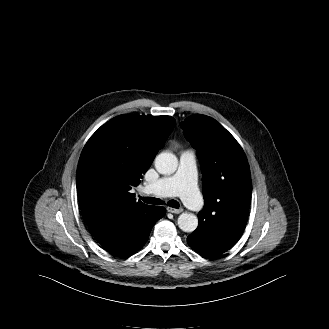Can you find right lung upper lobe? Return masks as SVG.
Segmentation results:
<instances>
[{
  "label": "right lung upper lobe",
  "mask_w": 329,
  "mask_h": 329,
  "mask_svg": "<svg viewBox=\"0 0 329 329\" xmlns=\"http://www.w3.org/2000/svg\"><path fill=\"white\" fill-rule=\"evenodd\" d=\"M171 116L120 115L101 126L86 143L76 184L87 225L102 215L148 207L130 193L175 126Z\"/></svg>",
  "instance_id": "right-lung-upper-lobe-1"
}]
</instances>
